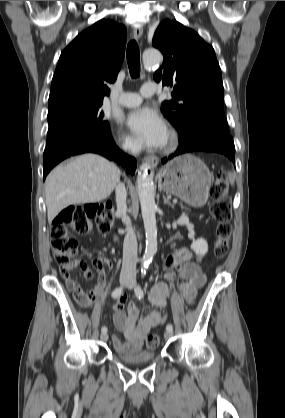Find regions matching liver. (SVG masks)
I'll use <instances>...</instances> for the list:
<instances>
[{
  "instance_id": "6515ba94",
  "label": "liver",
  "mask_w": 285,
  "mask_h": 418,
  "mask_svg": "<svg viewBox=\"0 0 285 418\" xmlns=\"http://www.w3.org/2000/svg\"><path fill=\"white\" fill-rule=\"evenodd\" d=\"M121 171L96 154H83L54 168L45 181L48 222L66 207L99 202L111 195Z\"/></svg>"
}]
</instances>
